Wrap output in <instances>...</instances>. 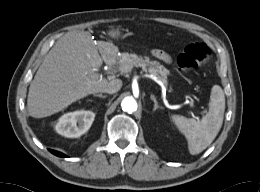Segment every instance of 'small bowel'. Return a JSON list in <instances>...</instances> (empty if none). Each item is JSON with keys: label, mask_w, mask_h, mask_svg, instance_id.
Returning <instances> with one entry per match:
<instances>
[{"label": "small bowel", "mask_w": 260, "mask_h": 192, "mask_svg": "<svg viewBox=\"0 0 260 192\" xmlns=\"http://www.w3.org/2000/svg\"><path fill=\"white\" fill-rule=\"evenodd\" d=\"M152 53H153V55H154L157 59H159V60H161V61H163V62H165V63H170V62H171V57H170V55L167 54L166 52H164L163 50L154 49V50L152 51Z\"/></svg>", "instance_id": "c3829d8e"}]
</instances>
